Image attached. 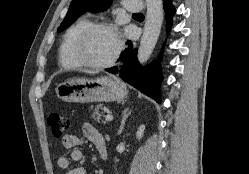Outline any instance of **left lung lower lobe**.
<instances>
[{"instance_id": "left-lung-lower-lobe-1", "label": "left lung lower lobe", "mask_w": 249, "mask_h": 174, "mask_svg": "<svg viewBox=\"0 0 249 174\" xmlns=\"http://www.w3.org/2000/svg\"><path fill=\"white\" fill-rule=\"evenodd\" d=\"M166 11L167 29L172 25V16L175 9L172 6V0H163ZM129 48L123 51L121 60L124 61L123 67L120 69V77L140 90L142 93L152 97L158 103L161 102L159 86L162 80L160 67L157 64L149 65L141 68L136 57V49H132V43L128 41ZM110 73H116L117 68L106 69Z\"/></svg>"}]
</instances>
